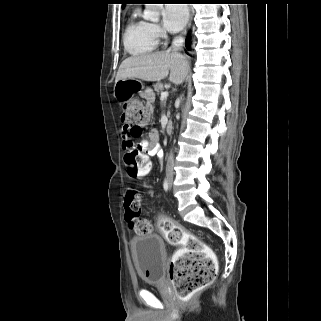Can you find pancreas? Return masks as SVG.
I'll list each match as a JSON object with an SVG mask.
<instances>
[{"mask_svg": "<svg viewBox=\"0 0 321 321\" xmlns=\"http://www.w3.org/2000/svg\"><path fill=\"white\" fill-rule=\"evenodd\" d=\"M154 90L157 92V93H160V92H162L163 90H164V85H163V83H161V82H158V83H156V84H154Z\"/></svg>", "mask_w": 321, "mask_h": 321, "instance_id": "pancreas-1", "label": "pancreas"}]
</instances>
